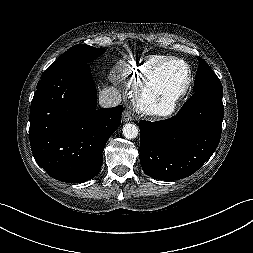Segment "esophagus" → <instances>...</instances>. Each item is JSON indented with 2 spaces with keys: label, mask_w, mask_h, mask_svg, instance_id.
I'll list each match as a JSON object with an SVG mask.
<instances>
[{
  "label": "esophagus",
  "mask_w": 253,
  "mask_h": 253,
  "mask_svg": "<svg viewBox=\"0 0 253 253\" xmlns=\"http://www.w3.org/2000/svg\"><path fill=\"white\" fill-rule=\"evenodd\" d=\"M122 120H123L124 122H129V121H131V120H132V115H131V113H130L129 111L125 110V111L123 112V114H122Z\"/></svg>",
  "instance_id": "34e87169"
}]
</instances>
